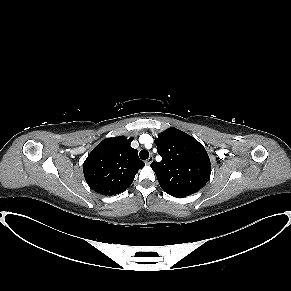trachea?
Segmentation results:
<instances>
[{
    "mask_svg": "<svg viewBox=\"0 0 291 291\" xmlns=\"http://www.w3.org/2000/svg\"><path fill=\"white\" fill-rule=\"evenodd\" d=\"M139 156L142 160H146L149 157V152L147 150H141Z\"/></svg>",
    "mask_w": 291,
    "mask_h": 291,
    "instance_id": "obj_1",
    "label": "trachea"
}]
</instances>
